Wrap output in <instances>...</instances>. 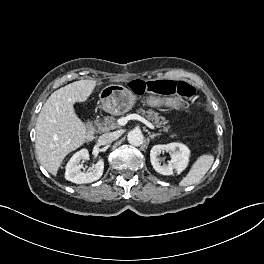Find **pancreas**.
<instances>
[{"label":"pancreas","instance_id":"pancreas-1","mask_svg":"<svg viewBox=\"0 0 264 264\" xmlns=\"http://www.w3.org/2000/svg\"><path fill=\"white\" fill-rule=\"evenodd\" d=\"M137 112L145 116L146 119L152 121L157 127L162 126L164 131H168L170 128V126L167 125L168 121L163 116H159V113L157 112L152 110L145 111L143 109H140ZM94 125L97 132H107L118 127L114 116H105L102 119H97L94 121Z\"/></svg>","mask_w":264,"mask_h":264}]
</instances>
